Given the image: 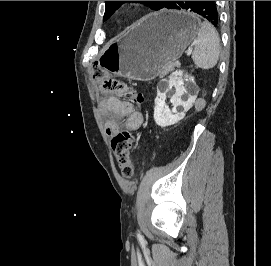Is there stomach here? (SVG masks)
Returning a JSON list of instances; mask_svg holds the SVG:
<instances>
[{"label":"stomach","mask_w":271,"mask_h":266,"mask_svg":"<svg viewBox=\"0 0 271 266\" xmlns=\"http://www.w3.org/2000/svg\"><path fill=\"white\" fill-rule=\"evenodd\" d=\"M189 11L164 10L146 16L122 36L109 42L99 64L114 75L149 81L181 57L199 30Z\"/></svg>","instance_id":"stomach-1"}]
</instances>
